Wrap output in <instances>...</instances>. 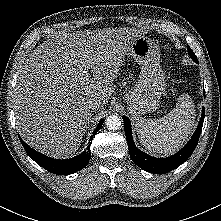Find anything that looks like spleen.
Masks as SVG:
<instances>
[{
    "label": "spleen",
    "instance_id": "obj_1",
    "mask_svg": "<svg viewBox=\"0 0 221 221\" xmlns=\"http://www.w3.org/2000/svg\"><path fill=\"white\" fill-rule=\"evenodd\" d=\"M195 119V106L188 94H182L176 107L155 120L137 118L135 130L141 144L152 152L170 154L183 146Z\"/></svg>",
    "mask_w": 221,
    "mask_h": 221
}]
</instances>
